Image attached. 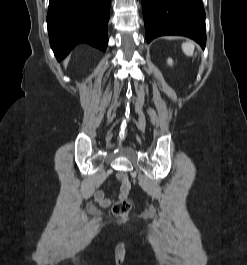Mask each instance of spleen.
<instances>
[{
  "instance_id": "obj_1",
  "label": "spleen",
  "mask_w": 247,
  "mask_h": 265,
  "mask_svg": "<svg viewBox=\"0 0 247 265\" xmlns=\"http://www.w3.org/2000/svg\"><path fill=\"white\" fill-rule=\"evenodd\" d=\"M195 46L192 42H185L182 44V50L187 56H193Z\"/></svg>"
}]
</instances>
